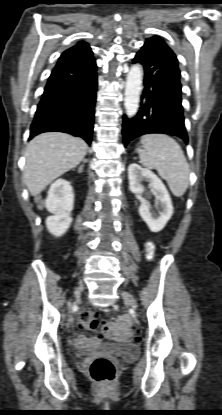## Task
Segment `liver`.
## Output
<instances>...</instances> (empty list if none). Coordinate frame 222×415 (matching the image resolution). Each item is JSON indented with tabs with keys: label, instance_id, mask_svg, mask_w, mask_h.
Wrapping results in <instances>:
<instances>
[{
	"label": "liver",
	"instance_id": "6515ba94",
	"mask_svg": "<svg viewBox=\"0 0 222 415\" xmlns=\"http://www.w3.org/2000/svg\"><path fill=\"white\" fill-rule=\"evenodd\" d=\"M86 142L65 133H44L32 139L25 152L23 181L32 196L76 167L85 157Z\"/></svg>",
	"mask_w": 222,
	"mask_h": 415
}]
</instances>
